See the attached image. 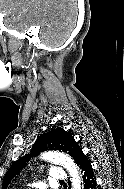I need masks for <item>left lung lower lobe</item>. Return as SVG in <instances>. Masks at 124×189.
<instances>
[{
	"instance_id": "left-lung-lower-lobe-1",
	"label": "left lung lower lobe",
	"mask_w": 124,
	"mask_h": 189,
	"mask_svg": "<svg viewBox=\"0 0 124 189\" xmlns=\"http://www.w3.org/2000/svg\"><path fill=\"white\" fill-rule=\"evenodd\" d=\"M78 166L82 173L84 189H96V176L92 169L91 162L86 155H81L80 159L78 160Z\"/></svg>"
}]
</instances>
